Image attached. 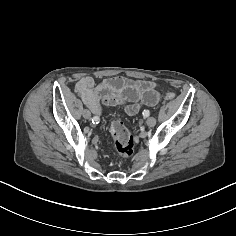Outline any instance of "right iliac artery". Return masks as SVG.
<instances>
[{"mask_svg": "<svg viewBox=\"0 0 236 236\" xmlns=\"http://www.w3.org/2000/svg\"><path fill=\"white\" fill-rule=\"evenodd\" d=\"M92 122H93V123H98V122H99V117L94 116V117L92 118Z\"/></svg>", "mask_w": 236, "mask_h": 236, "instance_id": "right-iliac-artery-1", "label": "right iliac artery"}]
</instances>
